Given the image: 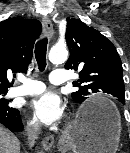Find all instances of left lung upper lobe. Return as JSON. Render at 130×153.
I'll return each mask as SVG.
<instances>
[{"label": "left lung upper lobe", "instance_id": "5c2ea615", "mask_svg": "<svg viewBox=\"0 0 130 153\" xmlns=\"http://www.w3.org/2000/svg\"><path fill=\"white\" fill-rule=\"evenodd\" d=\"M66 42L70 56L66 69L79 70V80L73 82L79 90L72 93L77 103L93 94H108L124 99V81L119 54L110 40L82 21L67 17Z\"/></svg>", "mask_w": 130, "mask_h": 153}]
</instances>
